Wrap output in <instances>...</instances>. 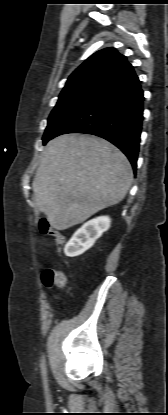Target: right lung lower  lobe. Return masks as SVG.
Here are the masks:
<instances>
[{"instance_id":"98d812e1","label":"right lung lower lobe","mask_w":168,"mask_h":415,"mask_svg":"<svg viewBox=\"0 0 168 415\" xmlns=\"http://www.w3.org/2000/svg\"><path fill=\"white\" fill-rule=\"evenodd\" d=\"M143 101V90L133 70L81 108L50 139L74 132L102 137L117 146L136 171Z\"/></svg>"}]
</instances>
